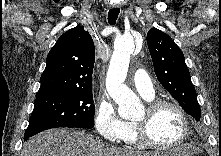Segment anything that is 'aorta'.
I'll list each match as a JSON object with an SVG mask.
<instances>
[{
  "label": "aorta",
  "mask_w": 221,
  "mask_h": 156,
  "mask_svg": "<svg viewBox=\"0 0 221 156\" xmlns=\"http://www.w3.org/2000/svg\"><path fill=\"white\" fill-rule=\"evenodd\" d=\"M134 48V37L130 34H124L115 41L106 78V89L118 104L119 115L125 119L137 117L143 110L140 99L124 84Z\"/></svg>",
  "instance_id": "762f6f07"
}]
</instances>
